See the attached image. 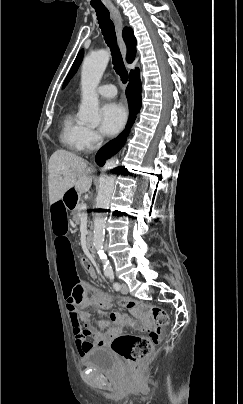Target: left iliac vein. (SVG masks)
Returning a JSON list of instances; mask_svg holds the SVG:
<instances>
[{"label":"left iliac vein","mask_w":243,"mask_h":404,"mask_svg":"<svg viewBox=\"0 0 243 404\" xmlns=\"http://www.w3.org/2000/svg\"><path fill=\"white\" fill-rule=\"evenodd\" d=\"M129 292L128 286L125 283L121 284V293L127 294Z\"/></svg>","instance_id":"obj_1"}]
</instances>
